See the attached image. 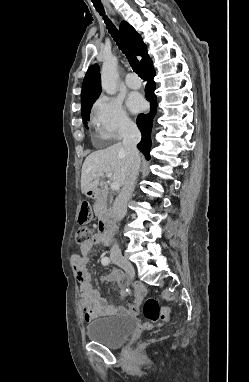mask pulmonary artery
<instances>
[{
	"label": "pulmonary artery",
	"mask_w": 249,
	"mask_h": 382,
	"mask_svg": "<svg viewBox=\"0 0 249 382\" xmlns=\"http://www.w3.org/2000/svg\"><path fill=\"white\" fill-rule=\"evenodd\" d=\"M125 82L131 89H138L141 87V80L134 73L127 74Z\"/></svg>",
	"instance_id": "1"
}]
</instances>
